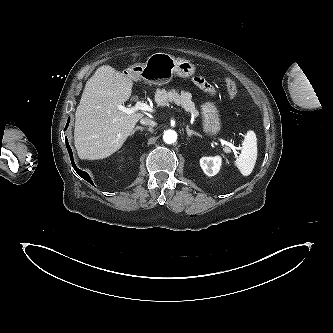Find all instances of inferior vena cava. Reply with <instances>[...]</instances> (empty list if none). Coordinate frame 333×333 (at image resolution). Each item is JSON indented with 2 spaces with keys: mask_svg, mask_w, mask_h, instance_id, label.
<instances>
[{
  "mask_svg": "<svg viewBox=\"0 0 333 333\" xmlns=\"http://www.w3.org/2000/svg\"><path fill=\"white\" fill-rule=\"evenodd\" d=\"M140 123L143 124V125H148V126H155L156 123L154 121H152L151 119L149 118H142L140 120Z\"/></svg>",
  "mask_w": 333,
  "mask_h": 333,
  "instance_id": "obj_1",
  "label": "inferior vena cava"
}]
</instances>
